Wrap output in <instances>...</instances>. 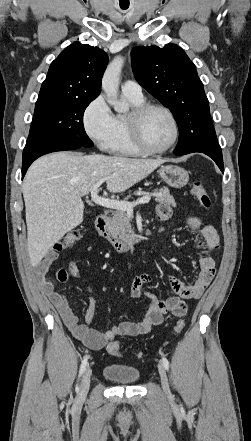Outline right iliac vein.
<instances>
[{"mask_svg":"<svg viewBox=\"0 0 251 441\" xmlns=\"http://www.w3.org/2000/svg\"><path fill=\"white\" fill-rule=\"evenodd\" d=\"M90 378H91V369L88 367L83 374L79 393H78V400H83L87 396V393L89 391L90 387Z\"/></svg>","mask_w":251,"mask_h":441,"instance_id":"right-iliac-vein-1","label":"right iliac vein"}]
</instances>
